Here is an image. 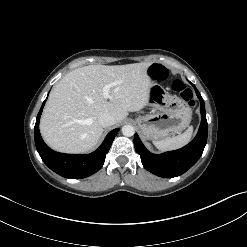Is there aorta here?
Instances as JSON below:
<instances>
[{
    "mask_svg": "<svg viewBox=\"0 0 247 247\" xmlns=\"http://www.w3.org/2000/svg\"><path fill=\"white\" fill-rule=\"evenodd\" d=\"M135 133V129L132 125H124L122 127V134L127 137L133 136Z\"/></svg>",
    "mask_w": 247,
    "mask_h": 247,
    "instance_id": "1",
    "label": "aorta"
}]
</instances>
